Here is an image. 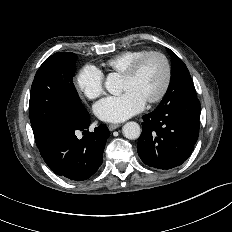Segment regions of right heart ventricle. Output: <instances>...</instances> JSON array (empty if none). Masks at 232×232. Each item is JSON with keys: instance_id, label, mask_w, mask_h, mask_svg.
Here are the masks:
<instances>
[{"instance_id": "1", "label": "right heart ventricle", "mask_w": 232, "mask_h": 232, "mask_svg": "<svg viewBox=\"0 0 232 232\" xmlns=\"http://www.w3.org/2000/svg\"><path fill=\"white\" fill-rule=\"evenodd\" d=\"M147 52L146 50H127L108 59L104 65L110 72L123 74L130 64L139 56Z\"/></svg>"}]
</instances>
